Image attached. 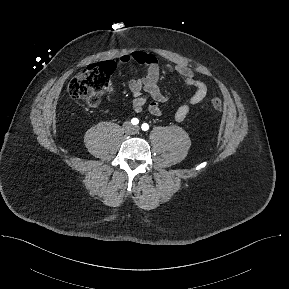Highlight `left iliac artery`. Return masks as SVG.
<instances>
[{
	"label": "left iliac artery",
	"instance_id": "44dca946",
	"mask_svg": "<svg viewBox=\"0 0 289 289\" xmlns=\"http://www.w3.org/2000/svg\"><path fill=\"white\" fill-rule=\"evenodd\" d=\"M141 128L143 131H147L149 129V125L147 123H143Z\"/></svg>",
	"mask_w": 289,
	"mask_h": 289
}]
</instances>
